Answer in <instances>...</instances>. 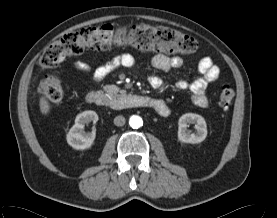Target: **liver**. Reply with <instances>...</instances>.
<instances>
[{
  "mask_svg": "<svg viewBox=\"0 0 277 218\" xmlns=\"http://www.w3.org/2000/svg\"><path fill=\"white\" fill-rule=\"evenodd\" d=\"M40 111L43 115H47L50 112V104L45 97H41L39 100Z\"/></svg>",
  "mask_w": 277,
  "mask_h": 218,
  "instance_id": "obj_1",
  "label": "liver"
}]
</instances>
